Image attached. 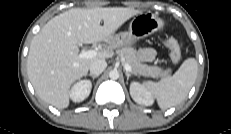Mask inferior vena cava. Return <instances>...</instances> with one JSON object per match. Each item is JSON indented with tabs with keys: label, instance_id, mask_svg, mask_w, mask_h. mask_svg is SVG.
<instances>
[{
	"label": "inferior vena cava",
	"instance_id": "1",
	"mask_svg": "<svg viewBox=\"0 0 231 134\" xmlns=\"http://www.w3.org/2000/svg\"><path fill=\"white\" fill-rule=\"evenodd\" d=\"M107 67V63L105 60H95L90 65V74L92 75H100Z\"/></svg>",
	"mask_w": 231,
	"mask_h": 134
}]
</instances>
